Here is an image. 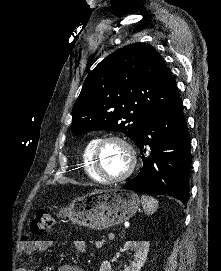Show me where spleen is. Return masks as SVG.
I'll return each mask as SVG.
<instances>
[{"label":"spleen","mask_w":221,"mask_h":271,"mask_svg":"<svg viewBox=\"0 0 221 271\" xmlns=\"http://www.w3.org/2000/svg\"><path fill=\"white\" fill-rule=\"evenodd\" d=\"M142 207L148 215H151V213H154L156 211V207H158V201L157 199H154V197H149V195H142Z\"/></svg>","instance_id":"spleen-1"}]
</instances>
